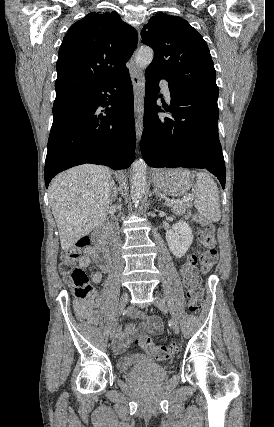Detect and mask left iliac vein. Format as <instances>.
Masks as SVG:
<instances>
[{"label":"left iliac vein","mask_w":274,"mask_h":427,"mask_svg":"<svg viewBox=\"0 0 274 427\" xmlns=\"http://www.w3.org/2000/svg\"><path fill=\"white\" fill-rule=\"evenodd\" d=\"M154 305L164 313L169 312V308L167 307L165 302L157 296H155ZM171 325H172L173 331L177 334L179 332V323L177 318L173 315H171Z\"/></svg>","instance_id":"obj_1"}]
</instances>
